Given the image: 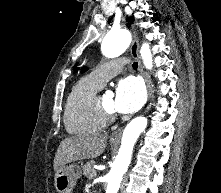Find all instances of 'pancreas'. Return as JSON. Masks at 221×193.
<instances>
[{
	"label": "pancreas",
	"instance_id": "cf45deb5",
	"mask_svg": "<svg viewBox=\"0 0 221 193\" xmlns=\"http://www.w3.org/2000/svg\"><path fill=\"white\" fill-rule=\"evenodd\" d=\"M95 161L90 160L88 161L84 166H83V174L86 176L88 179H92L93 176V171H94V166Z\"/></svg>",
	"mask_w": 221,
	"mask_h": 193
}]
</instances>
